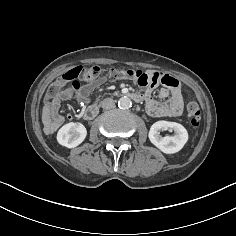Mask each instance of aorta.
Segmentation results:
<instances>
[{
    "mask_svg": "<svg viewBox=\"0 0 236 236\" xmlns=\"http://www.w3.org/2000/svg\"><path fill=\"white\" fill-rule=\"evenodd\" d=\"M132 106V102L130 100V98L124 96L121 97L118 101V107L120 109H129Z\"/></svg>",
    "mask_w": 236,
    "mask_h": 236,
    "instance_id": "1",
    "label": "aorta"
}]
</instances>
